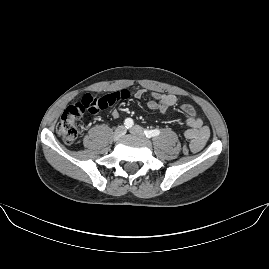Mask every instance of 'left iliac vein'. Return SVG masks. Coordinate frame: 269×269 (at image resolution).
Here are the masks:
<instances>
[{
    "label": "left iliac vein",
    "instance_id": "left-iliac-vein-1",
    "mask_svg": "<svg viewBox=\"0 0 269 269\" xmlns=\"http://www.w3.org/2000/svg\"><path fill=\"white\" fill-rule=\"evenodd\" d=\"M130 133L136 136H140L142 137L144 134V130L142 129V127H140L139 125H134L131 129H130Z\"/></svg>",
    "mask_w": 269,
    "mask_h": 269
}]
</instances>
